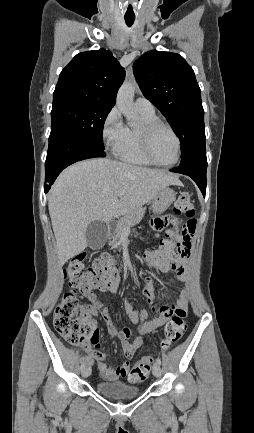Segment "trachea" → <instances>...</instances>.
<instances>
[{"mask_svg":"<svg viewBox=\"0 0 254 433\" xmlns=\"http://www.w3.org/2000/svg\"><path fill=\"white\" fill-rule=\"evenodd\" d=\"M135 18H125V22L127 24V26H132L134 23Z\"/></svg>","mask_w":254,"mask_h":433,"instance_id":"3493384b","label":"trachea"}]
</instances>
